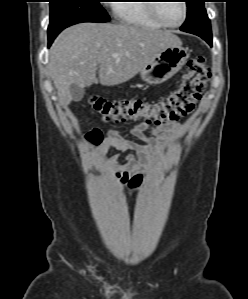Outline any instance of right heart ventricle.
I'll return each instance as SVG.
<instances>
[{"mask_svg": "<svg viewBox=\"0 0 248 299\" xmlns=\"http://www.w3.org/2000/svg\"><path fill=\"white\" fill-rule=\"evenodd\" d=\"M114 4V9L118 20L129 26L160 29L163 26L152 16L150 0L119 1Z\"/></svg>", "mask_w": 248, "mask_h": 299, "instance_id": "e07e8e85", "label": "right heart ventricle"}]
</instances>
